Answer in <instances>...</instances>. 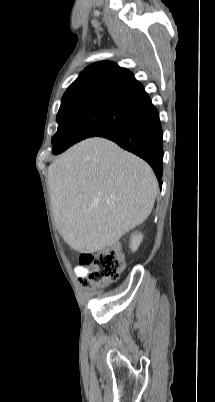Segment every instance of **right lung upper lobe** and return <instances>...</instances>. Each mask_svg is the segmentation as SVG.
Here are the masks:
<instances>
[{"label": "right lung upper lobe", "mask_w": 215, "mask_h": 402, "mask_svg": "<svg viewBox=\"0 0 215 402\" xmlns=\"http://www.w3.org/2000/svg\"><path fill=\"white\" fill-rule=\"evenodd\" d=\"M92 93L110 94L143 105L151 101L142 84L129 70L110 61L94 63L85 68L63 97Z\"/></svg>", "instance_id": "right-lung-upper-lobe-1"}]
</instances>
